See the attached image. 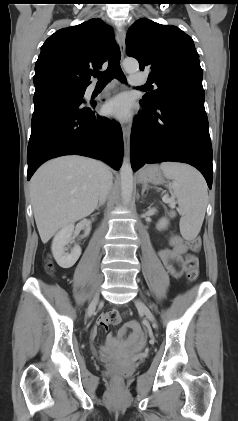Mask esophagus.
Segmentation results:
<instances>
[{
    "label": "esophagus",
    "instance_id": "34e87169",
    "mask_svg": "<svg viewBox=\"0 0 238 421\" xmlns=\"http://www.w3.org/2000/svg\"><path fill=\"white\" fill-rule=\"evenodd\" d=\"M116 39L119 45L120 52L123 55L125 52V39H126V33L123 28H118L116 30ZM122 132H123L125 152L128 154L130 150V128L128 126H122Z\"/></svg>",
    "mask_w": 238,
    "mask_h": 421
}]
</instances>
